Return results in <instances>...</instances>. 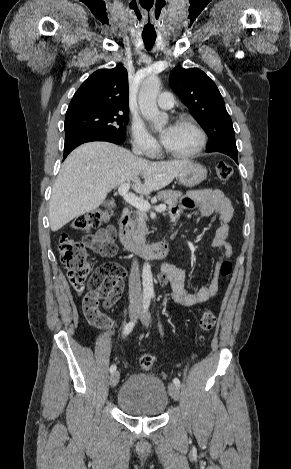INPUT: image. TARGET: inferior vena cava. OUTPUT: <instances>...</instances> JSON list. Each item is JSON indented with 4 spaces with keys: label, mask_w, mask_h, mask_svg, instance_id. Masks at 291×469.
Listing matches in <instances>:
<instances>
[{
    "label": "inferior vena cava",
    "mask_w": 291,
    "mask_h": 469,
    "mask_svg": "<svg viewBox=\"0 0 291 469\" xmlns=\"http://www.w3.org/2000/svg\"><path fill=\"white\" fill-rule=\"evenodd\" d=\"M134 154H141L139 147H133ZM129 303L130 306L141 307L143 303L139 266L136 260L133 261L129 277Z\"/></svg>",
    "instance_id": "obj_1"
}]
</instances>
